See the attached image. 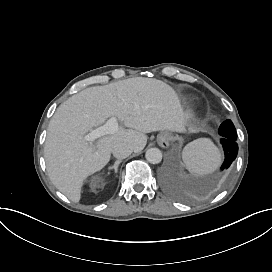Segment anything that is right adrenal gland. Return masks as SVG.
<instances>
[{"label":"right adrenal gland","mask_w":272,"mask_h":272,"mask_svg":"<svg viewBox=\"0 0 272 272\" xmlns=\"http://www.w3.org/2000/svg\"><path fill=\"white\" fill-rule=\"evenodd\" d=\"M122 161L121 160H117L113 166L109 167L108 169L111 170V169H114L115 172H117L118 170V165L121 163Z\"/></svg>","instance_id":"right-adrenal-gland-1"}]
</instances>
